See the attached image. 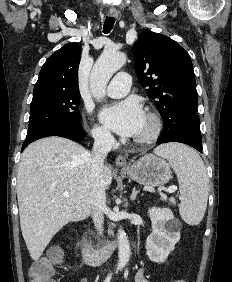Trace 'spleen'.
Wrapping results in <instances>:
<instances>
[{"label":"spleen","mask_w":232,"mask_h":282,"mask_svg":"<svg viewBox=\"0 0 232 282\" xmlns=\"http://www.w3.org/2000/svg\"><path fill=\"white\" fill-rule=\"evenodd\" d=\"M169 160L179 182L181 218L198 225L205 214L208 199V177L205 165L193 149L182 144H167L154 151Z\"/></svg>","instance_id":"spleen-1"}]
</instances>
